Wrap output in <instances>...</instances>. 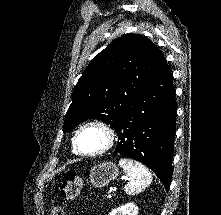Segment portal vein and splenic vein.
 Returning a JSON list of instances; mask_svg holds the SVG:
<instances>
[{"label":"portal vein and splenic vein","mask_w":221,"mask_h":215,"mask_svg":"<svg viewBox=\"0 0 221 215\" xmlns=\"http://www.w3.org/2000/svg\"><path fill=\"white\" fill-rule=\"evenodd\" d=\"M117 189L116 188H113L111 193L115 192ZM111 193L108 195V197H111Z\"/></svg>","instance_id":"1"}]
</instances>
